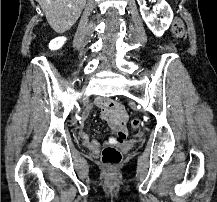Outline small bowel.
Instances as JSON below:
<instances>
[{
    "mask_svg": "<svg viewBox=\"0 0 217 202\" xmlns=\"http://www.w3.org/2000/svg\"><path fill=\"white\" fill-rule=\"evenodd\" d=\"M96 106L100 109L101 116L106 121H109V126H111L113 131V136L106 141V144L118 146L125 144L128 136L126 129L128 115L125 109L123 112V104H119V101H96ZM83 117L86 118L87 114H84ZM79 137L90 149L98 150L100 148V142L95 139H90L88 134L82 129L79 130Z\"/></svg>",
    "mask_w": 217,
    "mask_h": 202,
    "instance_id": "small-bowel-1",
    "label": "small bowel"
}]
</instances>
